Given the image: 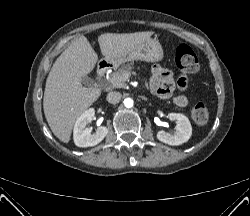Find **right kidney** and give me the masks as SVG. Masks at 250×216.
<instances>
[{"label":"right kidney","mask_w":250,"mask_h":216,"mask_svg":"<svg viewBox=\"0 0 250 216\" xmlns=\"http://www.w3.org/2000/svg\"><path fill=\"white\" fill-rule=\"evenodd\" d=\"M95 110L90 108L86 110L76 121L73 129L74 143L78 147H91L100 143L108 134V129L105 126H100L96 132L91 134V130L86 128L94 117Z\"/></svg>","instance_id":"1"}]
</instances>
